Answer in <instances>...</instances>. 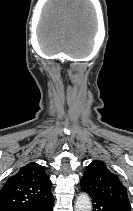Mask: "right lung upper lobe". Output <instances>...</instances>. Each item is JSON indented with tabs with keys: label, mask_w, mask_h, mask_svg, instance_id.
<instances>
[{
	"label": "right lung upper lobe",
	"mask_w": 133,
	"mask_h": 211,
	"mask_svg": "<svg viewBox=\"0 0 133 211\" xmlns=\"http://www.w3.org/2000/svg\"><path fill=\"white\" fill-rule=\"evenodd\" d=\"M53 197L44 167L29 163L11 176L0 192V211H29Z\"/></svg>",
	"instance_id": "1"
}]
</instances>
